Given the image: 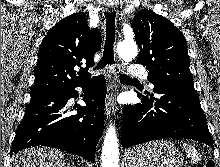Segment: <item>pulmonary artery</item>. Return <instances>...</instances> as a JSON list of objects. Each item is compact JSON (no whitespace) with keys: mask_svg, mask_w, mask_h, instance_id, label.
Returning <instances> with one entry per match:
<instances>
[{"mask_svg":"<svg viewBox=\"0 0 220 167\" xmlns=\"http://www.w3.org/2000/svg\"><path fill=\"white\" fill-rule=\"evenodd\" d=\"M129 74L133 77L146 78L147 70L142 65L134 64L130 66Z\"/></svg>","mask_w":220,"mask_h":167,"instance_id":"1","label":"pulmonary artery"}]
</instances>
